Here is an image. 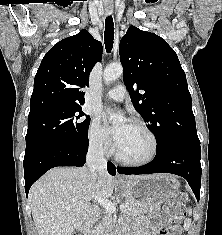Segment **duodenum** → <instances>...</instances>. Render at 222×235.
I'll use <instances>...</instances> for the list:
<instances>
[{"label":"duodenum","instance_id":"duodenum-1","mask_svg":"<svg viewBox=\"0 0 222 235\" xmlns=\"http://www.w3.org/2000/svg\"><path fill=\"white\" fill-rule=\"evenodd\" d=\"M98 213V209H94L93 211H92V216H95L96 214ZM80 232L81 233H83V234H85V235H87V233H88V225L86 224V223H82L81 225H80ZM109 235H116V234H113V233H111V234H109Z\"/></svg>","mask_w":222,"mask_h":235}]
</instances>
